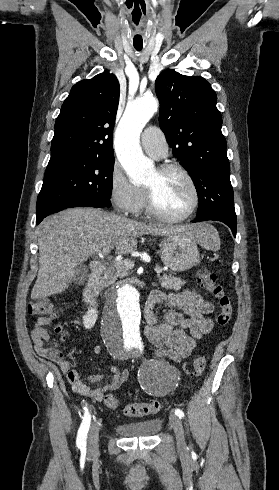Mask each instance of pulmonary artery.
<instances>
[{"label": "pulmonary artery", "mask_w": 279, "mask_h": 490, "mask_svg": "<svg viewBox=\"0 0 279 490\" xmlns=\"http://www.w3.org/2000/svg\"><path fill=\"white\" fill-rule=\"evenodd\" d=\"M141 144L144 150L155 159L164 157L168 150L165 137L157 126H149L144 130Z\"/></svg>", "instance_id": "obj_1"}]
</instances>
